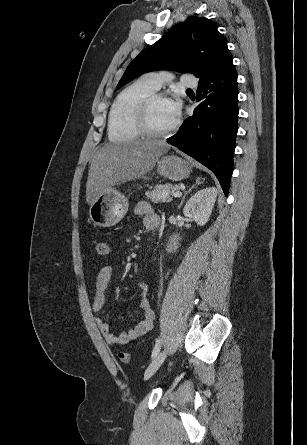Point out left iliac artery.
I'll list each match as a JSON object with an SVG mask.
<instances>
[{
    "instance_id": "obj_1",
    "label": "left iliac artery",
    "mask_w": 307,
    "mask_h": 445,
    "mask_svg": "<svg viewBox=\"0 0 307 445\" xmlns=\"http://www.w3.org/2000/svg\"><path fill=\"white\" fill-rule=\"evenodd\" d=\"M160 347H161V341H160V339H158L154 346L153 352H152V356H151L152 358L157 356V354L160 351Z\"/></svg>"
}]
</instances>
